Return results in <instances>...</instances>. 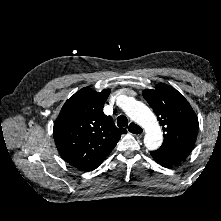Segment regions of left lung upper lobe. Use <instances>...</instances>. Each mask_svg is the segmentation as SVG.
<instances>
[{
	"instance_id": "left-lung-upper-lobe-1",
	"label": "left lung upper lobe",
	"mask_w": 221,
	"mask_h": 221,
	"mask_svg": "<svg viewBox=\"0 0 221 221\" xmlns=\"http://www.w3.org/2000/svg\"><path fill=\"white\" fill-rule=\"evenodd\" d=\"M143 96L156 113L165 133L161 148L195 144L198 118L183 95L173 87L160 83L155 89L144 90Z\"/></svg>"
}]
</instances>
